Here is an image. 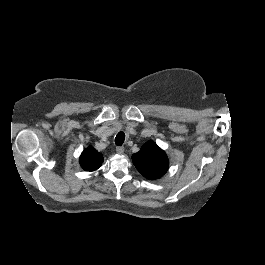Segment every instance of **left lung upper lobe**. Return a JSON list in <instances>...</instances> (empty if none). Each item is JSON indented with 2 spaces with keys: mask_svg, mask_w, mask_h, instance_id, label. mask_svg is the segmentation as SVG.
I'll return each mask as SVG.
<instances>
[{
  "mask_svg": "<svg viewBox=\"0 0 265 265\" xmlns=\"http://www.w3.org/2000/svg\"><path fill=\"white\" fill-rule=\"evenodd\" d=\"M132 160L138 171L150 180L162 177L168 170L167 155L153 141L145 143L138 153L132 155Z\"/></svg>",
  "mask_w": 265,
  "mask_h": 265,
  "instance_id": "1",
  "label": "left lung upper lobe"
}]
</instances>
